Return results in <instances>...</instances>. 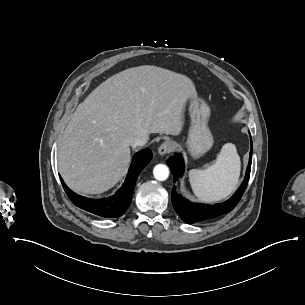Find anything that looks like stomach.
Segmentation results:
<instances>
[{"mask_svg":"<svg viewBox=\"0 0 305 305\" xmlns=\"http://www.w3.org/2000/svg\"><path fill=\"white\" fill-rule=\"evenodd\" d=\"M189 112L191 127L186 145L191 156L197 159L209 151L214 142L208 128L211 110L204 100L196 96L190 100Z\"/></svg>","mask_w":305,"mask_h":305,"instance_id":"0dacf381","label":"stomach"}]
</instances>
